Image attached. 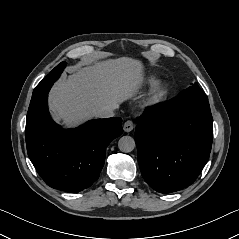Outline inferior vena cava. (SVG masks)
Wrapping results in <instances>:
<instances>
[{"mask_svg":"<svg viewBox=\"0 0 239 239\" xmlns=\"http://www.w3.org/2000/svg\"><path fill=\"white\" fill-rule=\"evenodd\" d=\"M115 109H116V107H110L105 110H102L97 113V117H99V118L113 117L115 115Z\"/></svg>","mask_w":239,"mask_h":239,"instance_id":"obj_1","label":"inferior vena cava"}]
</instances>
